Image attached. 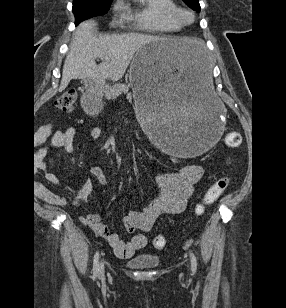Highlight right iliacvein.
I'll return each instance as SVG.
<instances>
[{
    "instance_id": "63e3f726",
    "label": "right iliac vein",
    "mask_w": 286,
    "mask_h": 308,
    "mask_svg": "<svg viewBox=\"0 0 286 308\" xmlns=\"http://www.w3.org/2000/svg\"><path fill=\"white\" fill-rule=\"evenodd\" d=\"M104 274V264L103 262L100 263V267H99V275H103Z\"/></svg>"
}]
</instances>
